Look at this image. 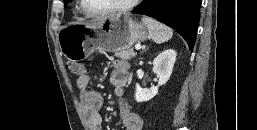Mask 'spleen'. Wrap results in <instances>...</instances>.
<instances>
[{
    "label": "spleen",
    "instance_id": "spleen-1",
    "mask_svg": "<svg viewBox=\"0 0 257 130\" xmlns=\"http://www.w3.org/2000/svg\"><path fill=\"white\" fill-rule=\"evenodd\" d=\"M142 22L147 27L150 37L157 44L167 42L173 36L171 28L153 18L143 16Z\"/></svg>",
    "mask_w": 257,
    "mask_h": 130
}]
</instances>
